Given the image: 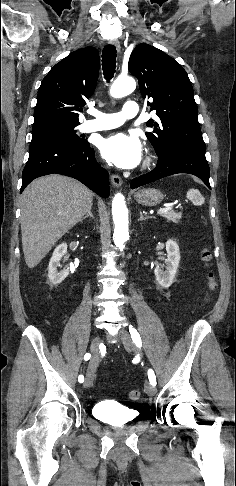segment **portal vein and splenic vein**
<instances>
[{
  "label": "portal vein and splenic vein",
  "mask_w": 236,
  "mask_h": 486,
  "mask_svg": "<svg viewBox=\"0 0 236 486\" xmlns=\"http://www.w3.org/2000/svg\"><path fill=\"white\" fill-rule=\"evenodd\" d=\"M172 208H173L172 206H167V207L160 208V209L158 210V214H159V215H161V214H163V213H166V212H168V211L172 210Z\"/></svg>",
  "instance_id": "18ae733b"
}]
</instances>
